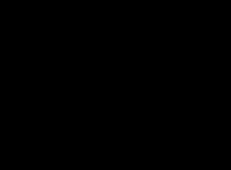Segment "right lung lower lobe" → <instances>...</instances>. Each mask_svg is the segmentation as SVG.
Instances as JSON below:
<instances>
[{
  "label": "right lung lower lobe",
  "mask_w": 231,
  "mask_h": 170,
  "mask_svg": "<svg viewBox=\"0 0 231 170\" xmlns=\"http://www.w3.org/2000/svg\"><path fill=\"white\" fill-rule=\"evenodd\" d=\"M76 49L77 38L73 28L59 25L55 32L54 60L49 84L55 143L49 144L42 138L40 141L52 154L67 160L81 158L91 145L89 140L78 139L76 126L73 124L77 100L85 85ZM39 60L37 55L32 63L33 68L37 67Z\"/></svg>",
  "instance_id": "1"
}]
</instances>
